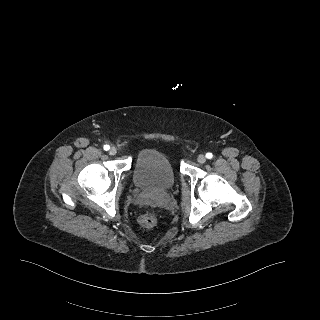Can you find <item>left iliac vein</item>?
<instances>
[{
  "instance_id": "4c4485c4",
  "label": "left iliac vein",
  "mask_w": 320,
  "mask_h": 320,
  "mask_svg": "<svg viewBox=\"0 0 320 320\" xmlns=\"http://www.w3.org/2000/svg\"><path fill=\"white\" fill-rule=\"evenodd\" d=\"M197 161H198L199 163L203 164V163L206 162V157L201 154V155H199V156L197 157Z\"/></svg>"
}]
</instances>
